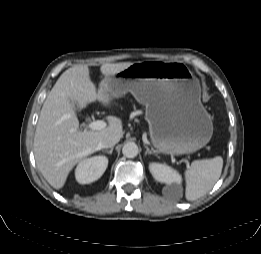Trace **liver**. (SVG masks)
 <instances>
[{
  "label": "liver",
  "mask_w": 261,
  "mask_h": 254,
  "mask_svg": "<svg viewBox=\"0 0 261 254\" xmlns=\"http://www.w3.org/2000/svg\"><path fill=\"white\" fill-rule=\"evenodd\" d=\"M132 64L105 63L100 71L109 78ZM96 100L103 105L111 101L106 94L96 91L88 65H75L59 77L42 106L34 137V155L39 171L55 189L64 186L77 163L100 149L103 137L113 134L123 137L122 121L115 116L106 117L108 126L102 130L79 129L75 103L84 109Z\"/></svg>",
  "instance_id": "1"
}]
</instances>
